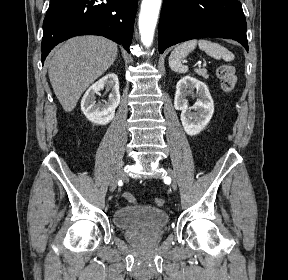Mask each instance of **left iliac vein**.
I'll list each match as a JSON object with an SVG mask.
<instances>
[{
  "label": "left iliac vein",
  "instance_id": "4c4485c4",
  "mask_svg": "<svg viewBox=\"0 0 288 280\" xmlns=\"http://www.w3.org/2000/svg\"><path fill=\"white\" fill-rule=\"evenodd\" d=\"M169 176L172 177V172L169 170ZM171 186L174 190L177 189V183L175 181V179L172 178V181H171Z\"/></svg>",
  "mask_w": 288,
  "mask_h": 280
}]
</instances>
